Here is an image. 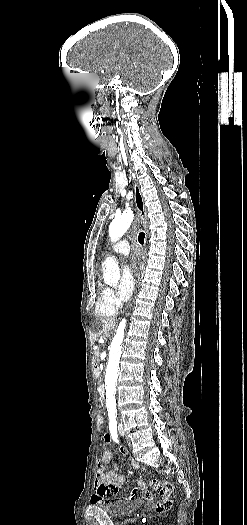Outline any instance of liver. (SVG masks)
<instances>
[{
  "mask_svg": "<svg viewBox=\"0 0 247 525\" xmlns=\"http://www.w3.org/2000/svg\"><path fill=\"white\" fill-rule=\"evenodd\" d=\"M115 325L116 321H103L101 333H108V331H112Z\"/></svg>",
  "mask_w": 247,
  "mask_h": 525,
  "instance_id": "6515ba94",
  "label": "liver"
}]
</instances>
